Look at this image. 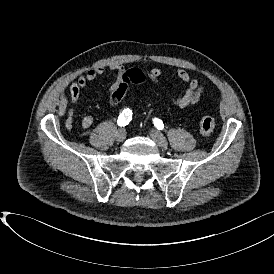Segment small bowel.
I'll return each mask as SVG.
<instances>
[{"label":"small bowel","mask_w":274,"mask_h":274,"mask_svg":"<svg viewBox=\"0 0 274 274\" xmlns=\"http://www.w3.org/2000/svg\"><path fill=\"white\" fill-rule=\"evenodd\" d=\"M108 69L116 72V80L109 86L107 94H112L119 88L123 82V77L126 72L123 65L119 63H111L108 65ZM104 67L92 68L79 76L76 80L70 83V98L73 105H77L82 91L85 89L89 82H94L99 76L105 73ZM147 76L150 81L157 85L160 78L163 76V70L159 67H152L147 69ZM177 79L185 84V90L172 100L173 106L178 110H184L190 106L195 105L205 94V88L197 78H192L191 75L183 68H177L175 70ZM94 123L92 116L87 115L83 117L81 121V127L83 130H88Z\"/></svg>","instance_id":"obj_1"}]
</instances>
